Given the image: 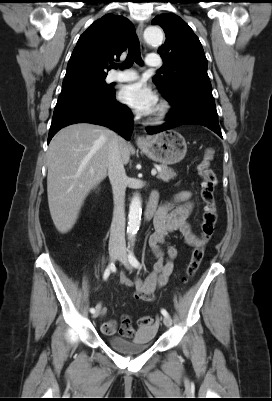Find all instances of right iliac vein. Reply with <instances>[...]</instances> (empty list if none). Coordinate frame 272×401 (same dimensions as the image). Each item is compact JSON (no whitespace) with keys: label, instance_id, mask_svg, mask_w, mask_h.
I'll return each mask as SVG.
<instances>
[{"label":"right iliac vein","instance_id":"63e3f726","mask_svg":"<svg viewBox=\"0 0 272 401\" xmlns=\"http://www.w3.org/2000/svg\"><path fill=\"white\" fill-rule=\"evenodd\" d=\"M119 252H120L119 246L115 245V246H111L110 247V249H109V257H110V262L111 263H113L117 259L118 255H119ZM98 314H99V308L96 307V311L93 313L92 317H97Z\"/></svg>","mask_w":272,"mask_h":401}]
</instances>
